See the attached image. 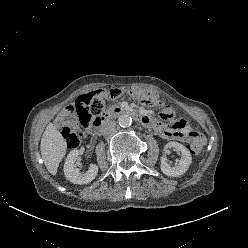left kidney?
Wrapping results in <instances>:
<instances>
[{"instance_id":"obj_1","label":"left kidney","mask_w":248,"mask_h":248,"mask_svg":"<svg viewBox=\"0 0 248 248\" xmlns=\"http://www.w3.org/2000/svg\"><path fill=\"white\" fill-rule=\"evenodd\" d=\"M167 148H174L177 151H179L182 155L181 159L179 160L178 165L171 167L165 157L161 158V171L167 175V176H171V177H178L183 175L187 170L188 167L190 166V164L192 163V157L191 154L189 152V150L182 144L178 143V142H169L166 145V149Z\"/></svg>"}]
</instances>
